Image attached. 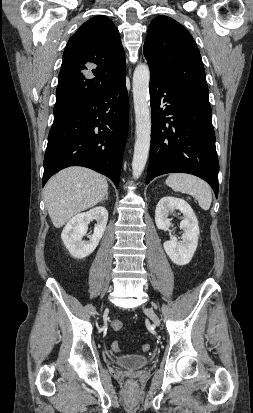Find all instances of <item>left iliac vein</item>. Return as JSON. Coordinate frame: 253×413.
I'll list each match as a JSON object with an SVG mask.
<instances>
[{
    "instance_id": "4c4485c4",
    "label": "left iliac vein",
    "mask_w": 253,
    "mask_h": 413,
    "mask_svg": "<svg viewBox=\"0 0 253 413\" xmlns=\"http://www.w3.org/2000/svg\"><path fill=\"white\" fill-rule=\"evenodd\" d=\"M145 314L153 321L155 325H159L160 321L155 312L152 309H144Z\"/></svg>"
}]
</instances>
